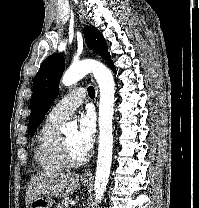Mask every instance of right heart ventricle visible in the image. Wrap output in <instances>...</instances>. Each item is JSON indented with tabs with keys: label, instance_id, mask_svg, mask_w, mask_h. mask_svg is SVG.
<instances>
[{
	"label": "right heart ventricle",
	"instance_id": "1",
	"mask_svg": "<svg viewBox=\"0 0 199 208\" xmlns=\"http://www.w3.org/2000/svg\"><path fill=\"white\" fill-rule=\"evenodd\" d=\"M62 122L49 116L37 135L35 160L46 172H61L67 168L61 151L62 135L59 128Z\"/></svg>",
	"mask_w": 199,
	"mask_h": 208
}]
</instances>
